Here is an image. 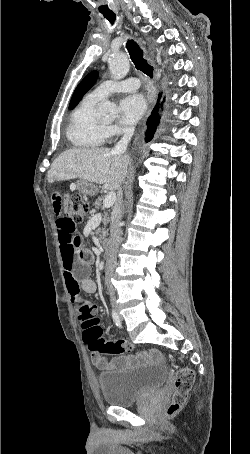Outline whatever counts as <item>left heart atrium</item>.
<instances>
[{
  "label": "left heart atrium",
  "instance_id": "left-heart-atrium-1",
  "mask_svg": "<svg viewBox=\"0 0 250 454\" xmlns=\"http://www.w3.org/2000/svg\"><path fill=\"white\" fill-rule=\"evenodd\" d=\"M121 121L126 125L136 123L145 113L147 104L139 93H133L120 101Z\"/></svg>",
  "mask_w": 250,
  "mask_h": 454
}]
</instances>
